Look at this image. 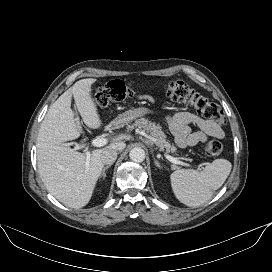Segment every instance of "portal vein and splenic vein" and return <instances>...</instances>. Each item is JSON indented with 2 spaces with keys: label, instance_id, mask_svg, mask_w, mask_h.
<instances>
[{
  "label": "portal vein and splenic vein",
  "instance_id": "1",
  "mask_svg": "<svg viewBox=\"0 0 272 272\" xmlns=\"http://www.w3.org/2000/svg\"><path fill=\"white\" fill-rule=\"evenodd\" d=\"M78 120V118H77ZM79 124V122H78ZM81 128V127H80ZM108 143L107 139L106 138H95L91 141V144L95 147H102L104 145H106ZM81 149V146H76L75 147V150H79ZM85 151H86V156H87V160L89 159L90 157V152L88 151V148L85 147ZM170 162L174 163V164H179V165H183V166H189L188 163H185V162H182L180 160H178L177 158H174L170 155H166L165 156ZM198 169H201V167L199 166Z\"/></svg>",
  "mask_w": 272,
  "mask_h": 272
}]
</instances>
